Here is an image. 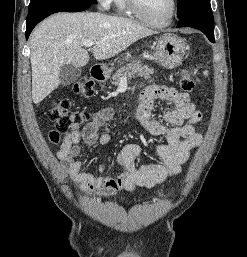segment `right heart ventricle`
I'll list each match as a JSON object with an SVG mask.
<instances>
[{
  "mask_svg": "<svg viewBox=\"0 0 247 257\" xmlns=\"http://www.w3.org/2000/svg\"><path fill=\"white\" fill-rule=\"evenodd\" d=\"M113 3L118 13H122V14L131 13L126 6L125 0H114Z\"/></svg>",
  "mask_w": 247,
  "mask_h": 257,
  "instance_id": "obj_1",
  "label": "right heart ventricle"
}]
</instances>
